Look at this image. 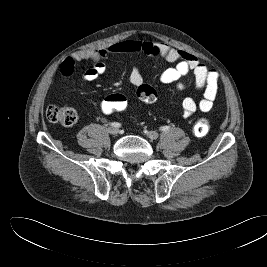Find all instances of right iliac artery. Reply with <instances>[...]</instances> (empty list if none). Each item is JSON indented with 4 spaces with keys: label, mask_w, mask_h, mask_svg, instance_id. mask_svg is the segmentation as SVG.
Listing matches in <instances>:
<instances>
[{
    "label": "right iliac artery",
    "mask_w": 267,
    "mask_h": 267,
    "mask_svg": "<svg viewBox=\"0 0 267 267\" xmlns=\"http://www.w3.org/2000/svg\"><path fill=\"white\" fill-rule=\"evenodd\" d=\"M109 125H111V126H113V127H120V126H121V124L118 123V122H112V123H110Z\"/></svg>",
    "instance_id": "1"
}]
</instances>
